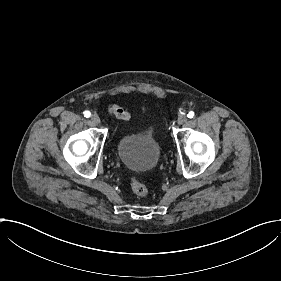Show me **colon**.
I'll return each mask as SVG.
<instances>
[{
    "mask_svg": "<svg viewBox=\"0 0 281 281\" xmlns=\"http://www.w3.org/2000/svg\"><path fill=\"white\" fill-rule=\"evenodd\" d=\"M130 191L136 198H144L150 194V187L140 178H132L129 183Z\"/></svg>",
    "mask_w": 281,
    "mask_h": 281,
    "instance_id": "5ec220e1",
    "label": "colon"
}]
</instances>
